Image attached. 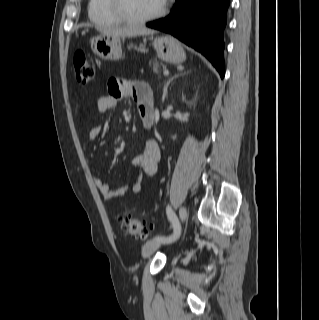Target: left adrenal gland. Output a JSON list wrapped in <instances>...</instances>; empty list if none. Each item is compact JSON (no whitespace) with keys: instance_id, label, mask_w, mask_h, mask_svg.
<instances>
[{"instance_id":"left-adrenal-gland-1","label":"left adrenal gland","mask_w":319,"mask_h":320,"mask_svg":"<svg viewBox=\"0 0 319 320\" xmlns=\"http://www.w3.org/2000/svg\"><path fill=\"white\" fill-rule=\"evenodd\" d=\"M179 75H182V73H180V74H175V75H174L173 77H171V78L166 82V84L164 85L162 101H164L165 98L167 97L169 84H170L175 78H177Z\"/></svg>"}]
</instances>
